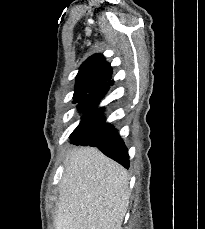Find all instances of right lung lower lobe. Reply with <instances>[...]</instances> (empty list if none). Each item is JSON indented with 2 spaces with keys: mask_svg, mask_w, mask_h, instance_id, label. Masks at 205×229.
Returning <instances> with one entry per match:
<instances>
[{
  "mask_svg": "<svg viewBox=\"0 0 205 229\" xmlns=\"http://www.w3.org/2000/svg\"><path fill=\"white\" fill-rule=\"evenodd\" d=\"M112 84L113 81L108 80L78 101V110H87V113L83 115L70 139L75 145L95 146L105 155L128 168L129 156L123 140L116 129L105 122L103 108H97L99 101Z\"/></svg>",
  "mask_w": 205,
  "mask_h": 229,
  "instance_id": "1",
  "label": "right lung lower lobe"
}]
</instances>
